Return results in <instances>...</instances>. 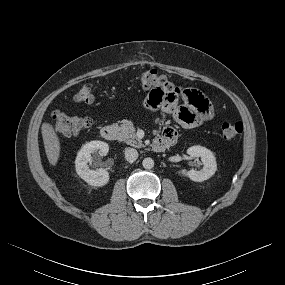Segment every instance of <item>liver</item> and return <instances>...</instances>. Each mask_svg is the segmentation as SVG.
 Instances as JSON below:
<instances>
[{"instance_id": "liver-1", "label": "liver", "mask_w": 285, "mask_h": 285, "mask_svg": "<svg viewBox=\"0 0 285 285\" xmlns=\"http://www.w3.org/2000/svg\"><path fill=\"white\" fill-rule=\"evenodd\" d=\"M46 156L49 163L55 166L60 156V140L50 123L44 122L41 127Z\"/></svg>"}]
</instances>
